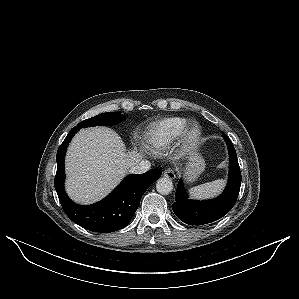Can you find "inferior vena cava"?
<instances>
[{
    "mask_svg": "<svg viewBox=\"0 0 299 299\" xmlns=\"http://www.w3.org/2000/svg\"><path fill=\"white\" fill-rule=\"evenodd\" d=\"M151 167V163L149 161H141L136 165L130 168V172L133 174H143L146 173Z\"/></svg>",
    "mask_w": 299,
    "mask_h": 299,
    "instance_id": "602c4592",
    "label": "inferior vena cava"
}]
</instances>
